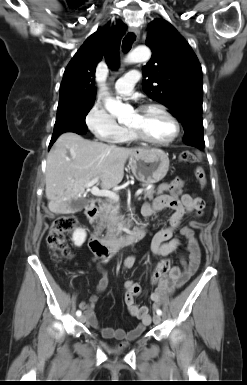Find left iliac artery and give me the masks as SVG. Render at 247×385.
<instances>
[{
	"instance_id": "left-iliac-artery-1",
	"label": "left iliac artery",
	"mask_w": 247,
	"mask_h": 385,
	"mask_svg": "<svg viewBox=\"0 0 247 385\" xmlns=\"http://www.w3.org/2000/svg\"><path fill=\"white\" fill-rule=\"evenodd\" d=\"M156 313H157L158 315H162V311H161L160 309H157V310H156Z\"/></svg>"
}]
</instances>
